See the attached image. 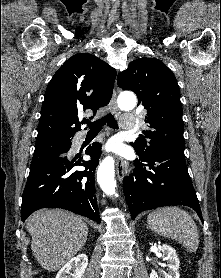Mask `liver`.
<instances>
[{"label":"liver","mask_w":221,"mask_h":278,"mask_svg":"<svg viewBox=\"0 0 221 278\" xmlns=\"http://www.w3.org/2000/svg\"><path fill=\"white\" fill-rule=\"evenodd\" d=\"M32 236L31 249L38 263L56 271L85 245L88 227L83 219L61 209H41L26 222Z\"/></svg>","instance_id":"1"}]
</instances>
